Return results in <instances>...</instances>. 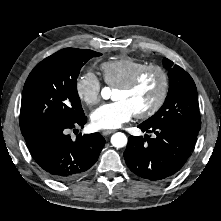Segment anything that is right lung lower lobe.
Returning a JSON list of instances; mask_svg holds the SVG:
<instances>
[{"label":"right lung lower lobe","instance_id":"right-lung-lower-lobe-1","mask_svg":"<svg viewBox=\"0 0 221 221\" xmlns=\"http://www.w3.org/2000/svg\"><path fill=\"white\" fill-rule=\"evenodd\" d=\"M86 116L69 123H53L24 135L27 147L40 169L51 178L68 182L83 176L97 161L105 144L100 133L77 135L69 130L84 127Z\"/></svg>","mask_w":221,"mask_h":221}]
</instances>
